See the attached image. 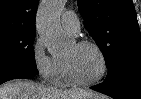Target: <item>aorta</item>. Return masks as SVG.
<instances>
[{
  "instance_id": "1",
  "label": "aorta",
  "mask_w": 141,
  "mask_h": 99,
  "mask_svg": "<svg viewBox=\"0 0 141 99\" xmlns=\"http://www.w3.org/2000/svg\"><path fill=\"white\" fill-rule=\"evenodd\" d=\"M64 0H44L38 9L36 29L52 55L65 53L71 40L64 35L60 27V14Z\"/></svg>"
}]
</instances>
